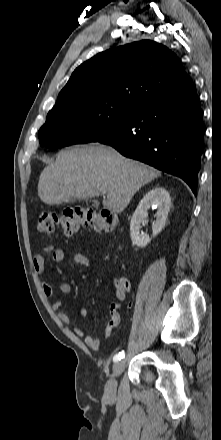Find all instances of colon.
Returning a JSON list of instances; mask_svg holds the SVG:
<instances>
[{"mask_svg": "<svg viewBox=\"0 0 221 440\" xmlns=\"http://www.w3.org/2000/svg\"><path fill=\"white\" fill-rule=\"evenodd\" d=\"M120 225L118 216L110 211L95 212L88 208H66L62 213L43 212L37 220L40 233L51 234L59 229L66 236L77 234L81 229H92L96 232H113ZM121 288L130 289L127 280L120 281Z\"/></svg>", "mask_w": 221, "mask_h": 440, "instance_id": "colon-1", "label": "colon"}]
</instances>
